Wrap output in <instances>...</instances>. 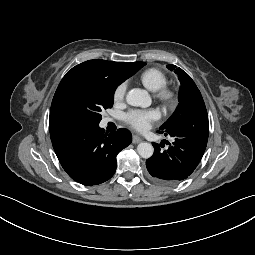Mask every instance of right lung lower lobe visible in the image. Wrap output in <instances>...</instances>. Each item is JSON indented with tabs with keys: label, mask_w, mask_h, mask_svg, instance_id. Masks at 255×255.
<instances>
[{
	"label": "right lung lower lobe",
	"mask_w": 255,
	"mask_h": 255,
	"mask_svg": "<svg viewBox=\"0 0 255 255\" xmlns=\"http://www.w3.org/2000/svg\"><path fill=\"white\" fill-rule=\"evenodd\" d=\"M55 153L63 169L76 182L91 186L110 179L117 167V154L132 142L124 128L110 134L99 125H49Z\"/></svg>",
	"instance_id": "1"
}]
</instances>
